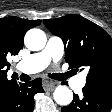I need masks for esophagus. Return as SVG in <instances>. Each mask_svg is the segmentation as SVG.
<instances>
[{"instance_id": "1", "label": "esophagus", "mask_w": 112, "mask_h": 112, "mask_svg": "<svg viewBox=\"0 0 112 112\" xmlns=\"http://www.w3.org/2000/svg\"><path fill=\"white\" fill-rule=\"evenodd\" d=\"M57 85H58V82L51 79H44L43 81V87L47 91L54 90Z\"/></svg>"}]
</instances>
